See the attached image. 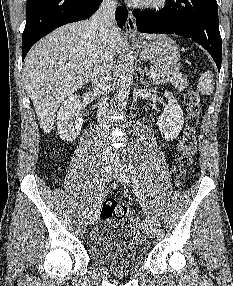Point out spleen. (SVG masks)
<instances>
[{"mask_svg": "<svg viewBox=\"0 0 233 286\" xmlns=\"http://www.w3.org/2000/svg\"><path fill=\"white\" fill-rule=\"evenodd\" d=\"M197 90L201 94L211 95L214 90V80L211 71L203 73L198 81Z\"/></svg>", "mask_w": 233, "mask_h": 286, "instance_id": "obj_1", "label": "spleen"}]
</instances>
